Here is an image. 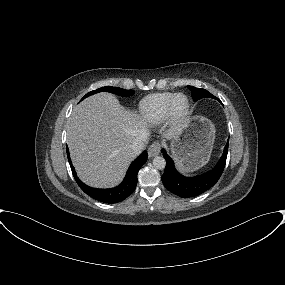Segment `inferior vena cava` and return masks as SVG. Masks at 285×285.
<instances>
[{"label":"inferior vena cava","mask_w":285,"mask_h":285,"mask_svg":"<svg viewBox=\"0 0 285 285\" xmlns=\"http://www.w3.org/2000/svg\"><path fill=\"white\" fill-rule=\"evenodd\" d=\"M147 141H148V135L146 132H143L133 140L132 144L130 145V149L135 154H139L145 147Z\"/></svg>","instance_id":"obj_1"}]
</instances>
